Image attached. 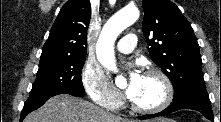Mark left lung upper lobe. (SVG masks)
I'll use <instances>...</instances> for the list:
<instances>
[{
    "mask_svg": "<svg viewBox=\"0 0 221 122\" xmlns=\"http://www.w3.org/2000/svg\"><path fill=\"white\" fill-rule=\"evenodd\" d=\"M143 34L152 60L171 80L174 99L191 92L206 91L199 45L193 29L179 8L169 0H142Z\"/></svg>",
    "mask_w": 221,
    "mask_h": 122,
    "instance_id": "obj_1",
    "label": "left lung upper lobe"
}]
</instances>
